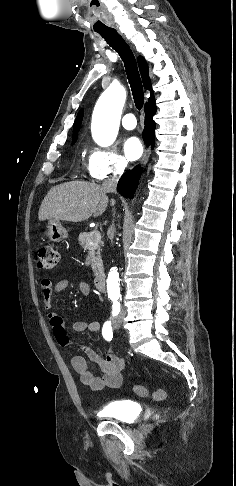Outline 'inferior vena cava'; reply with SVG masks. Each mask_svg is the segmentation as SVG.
<instances>
[{
	"instance_id": "obj_1",
	"label": "inferior vena cava",
	"mask_w": 236,
	"mask_h": 486,
	"mask_svg": "<svg viewBox=\"0 0 236 486\" xmlns=\"http://www.w3.org/2000/svg\"><path fill=\"white\" fill-rule=\"evenodd\" d=\"M126 165H127V162L125 160H120L119 162H117L116 165H115V171L113 173V176L103 182L102 186L108 192H114L116 190L119 176L124 172ZM112 205H114V201H112ZM108 231L112 235L114 234V232H115L114 224H112L109 227Z\"/></svg>"
}]
</instances>
